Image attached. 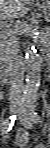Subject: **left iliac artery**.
<instances>
[{"label":"left iliac artery","instance_id":"44dca946","mask_svg":"<svg viewBox=\"0 0 50 148\" xmlns=\"http://www.w3.org/2000/svg\"><path fill=\"white\" fill-rule=\"evenodd\" d=\"M28 115L30 116L31 121L34 123L40 122V116L35 111V105L34 103H30L28 106Z\"/></svg>","mask_w":50,"mask_h":148}]
</instances>
